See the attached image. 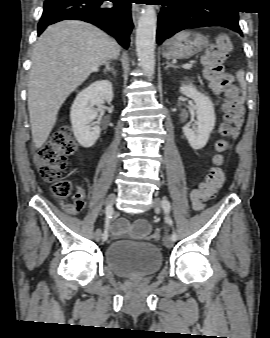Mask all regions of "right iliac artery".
<instances>
[{
  "label": "right iliac artery",
  "instance_id": "right-iliac-artery-1",
  "mask_svg": "<svg viewBox=\"0 0 270 338\" xmlns=\"http://www.w3.org/2000/svg\"><path fill=\"white\" fill-rule=\"evenodd\" d=\"M105 216H106L105 217V230L102 236V239L104 241L108 239V226H109L110 219L113 217L112 205L106 207Z\"/></svg>",
  "mask_w": 270,
  "mask_h": 338
}]
</instances>
